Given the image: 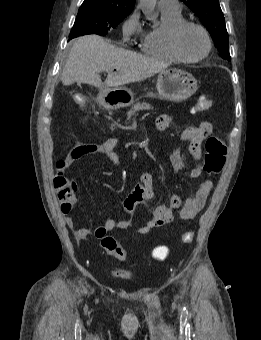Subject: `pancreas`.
Segmentation results:
<instances>
[{
  "label": "pancreas",
  "mask_w": 261,
  "mask_h": 340,
  "mask_svg": "<svg viewBox=\"0 0 261 340\" xmlns=\"http://www.w3.org/2000/svg\"><path fill=\"white\" fill-rule=\"evenodd\" d=\"M152 109V107L150 106V104L146 103V102H137L135 104L132 105L130 112L128 113V119L137 111L140 110H150Z\"/></svg>",
  "instance_id": "1"
}]
</instances>
